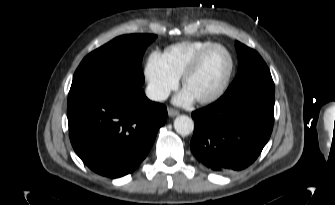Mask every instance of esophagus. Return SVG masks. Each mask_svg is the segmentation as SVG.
Returning a JSON list of instances; mask_svg holds the SVG:
<instances>
[{
  "mask_svg": "<svg viewBox=\"0 0 335 205\" xmlns=\"http://www.w3.org/2000/svg\"><path fill=\"white\" fill-rule=\"evenodd\" d=\"M168 115L170 117H175L177 115H179V111L173 108H168Z\"/></svg>",
  "mask_w": 335,
  "mask_h": 205,
  "instance_id": "1",
  "label": "esophagus"
}]
</instances>
